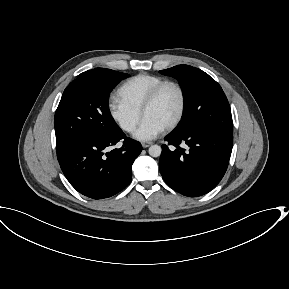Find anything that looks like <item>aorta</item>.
<instances>
[{
    "instance_id": "aorta-1",
    "label": "aorta",
    "mask_w": 289,
    "mask_h": 289,
    "mask_svg": "<svg viewBox=\"0 0 289 289\" xmlns=\"http://www.w3.org/2000/svg\"><path fill=\"white\" fill-rule=\"evenodd\" d=\"M148 152L149 155L152 157H159L161 155L162 149L158 145H152L151 147H149Z\"/></svg>"
}]
</instances>
